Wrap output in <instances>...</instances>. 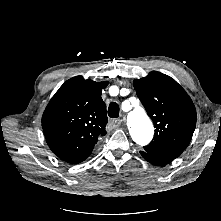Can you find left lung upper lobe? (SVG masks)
Listing matches in <instances>:
<instances>
[{
  "instance_id": "5c2ea615",
  "label": "left lung upper lobe",
  "mask_w": 221,
  "mask_h": 221,
  "mask_svg": "<svg viewBox=\"0 0 221 221\" xmlns=\"http://www.w3.org/2000/svg\"><path fill=\"white\" fill-rule=\"evenodd\" d=\"M134 89L156 128L153 140L144 151L179 157L190 143L196 126L191 98L174 79L157 71L134 80Z\"/></svg>"
}]
</instances>
